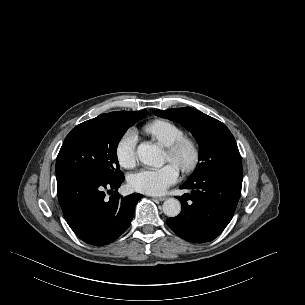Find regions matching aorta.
I'll list each match as a JSON object with an SVG mask.
<instances>
[{
	"label": "aorta",
	"instance_id": "obj_1",
	"mask_svg": "<svg viewBox=\"0 0 305 305\" xmlns=\"http://www.w3.org/2000/svg\"><path fill=\"white\" fill-rule=\"evenodd\" d=\"M139 160L149 166L161 167L164 164L165 156L159 145L152 143H141L137 148ZM163 212L168 217H176L181 212V203L175 198H169L163 203Z\"/></svg>",
	"mask_w": 305,
	"mask_h": 305
}]
</instances>
